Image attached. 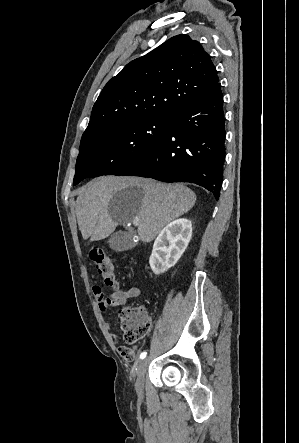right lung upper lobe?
I'll return each mask as SVG.
<instances>
[{"instance_id": "1", "label": "right lung upper lobe", "mask_w": 299, "mask_h": 443, "mask_svg": "<svg viewBox=\"0 0 299 443\" xmlns=\"http://www.w3.org/2000/svg\"><path fill=\"white\" fill-rule=\"evenodd\" d=\"M219 81L209 55L189 36H174L127 64L93 106L82 138L133 119L169 116Z\"/></svg>"}]
</instances>
